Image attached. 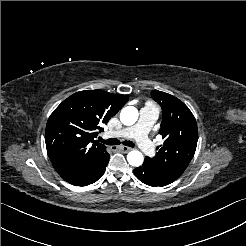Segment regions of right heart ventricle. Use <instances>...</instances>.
<instances>
[{
	"label": "right heart ventricle",
	"mask_w": 246,
	"mask_h": 246,
	"mask_svg": "<svg viewBox=\"0 0 246 246\" xmlns=\"http://www.w3.org/2000/svg\"><path fill=\"white\" fill-rule=\"evenodd\" d=\"M145 105H146V106H153L154 104H153L152 101H147ZM146 106H145V107H146Z\"/></svg>",
	"instance_id": "right-heart-ventricle-1"
}]
</instances>
